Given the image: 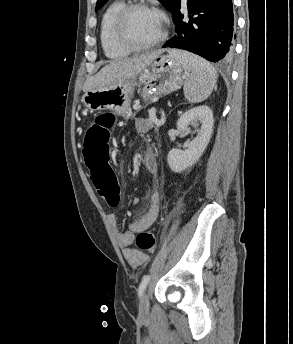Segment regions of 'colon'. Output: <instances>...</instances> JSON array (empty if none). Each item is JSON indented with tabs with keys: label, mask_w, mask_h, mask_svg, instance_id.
I'll return each instance as SVG.
<instances>
[{
	"label": "colon",
	"mask_w": 293,
	"mask_h": 344,
	"mask_svg": "<svg viewBox=\"0 0 293 344\" xmlns=\"http://www.w3.org/2000/svg\"><path fill=\"white\" fill-rule=\"evenodd\" d=\"M115 123L116 118L112 113L95 116L87 125L83 143V156L90 169L91 179L110 207H116L120 200V187L110 166L111 130ZM136 247L145 254L154 252L155 235L149 231L139 232Z\"/></svg>",
	"instance_id": "5ec220e1"
}]
</instances>
